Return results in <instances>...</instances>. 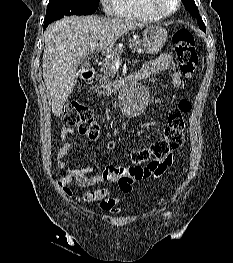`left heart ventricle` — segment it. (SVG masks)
I'll return each mask as SVG.
<instances>
[{"mask_svg": "<svg viewBox=\"0 0 233 263\" xmlns=\"http://www.w3.org/2000/svg\"><path fill=\"white\" fill-rule=\"evenodd\" d=\"M158 3L165 11H171L175 7V0H158Z\"/></svg>", "mask_w": 233, "mask_h": 263, "instance_id": "b2bd125f", "label": "left heart ventricle"}]
</instances>
